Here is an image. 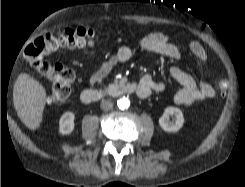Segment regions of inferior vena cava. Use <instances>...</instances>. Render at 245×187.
Listing matches in <instances>:
<instances>
[{
  "label": "inferior vena cava",
  "mask_w": 245,
  "mask_h": 187,
  "mask_svg": "<svg viewBox=\"0 0 245 187\" xmlns=\"http://www.w3.org/2000/svg\"><path fill=\"white\" fill-rule=\"evenodd\" d=\"M100 107L103 111H108L112 109L113 103L110 100H103L100 104Z\"/></svg>",
  "instance_id": "602c4592"
}]
</instances>
